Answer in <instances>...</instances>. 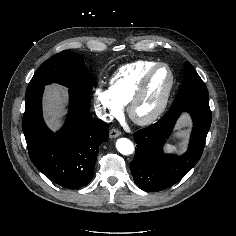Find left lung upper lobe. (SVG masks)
Here are the masks:
<instances>
[{
  "instance_id": "obj_1",
  "label": "left lung upper lobe",
  "mask_w": 236,
  "mask_h": 236,
  "mask_svg": "<svg viewBox=\"0 0 236 236\" xmlns=\"http://www.w3.org/2000/svg\"><path fill=\"white\" fill-rule=\"evenodd\" d=\"M186 105L210 108L207 88L189 62L185 63L184 80L171 108Z\"/></svg>"
}]
</instances>
